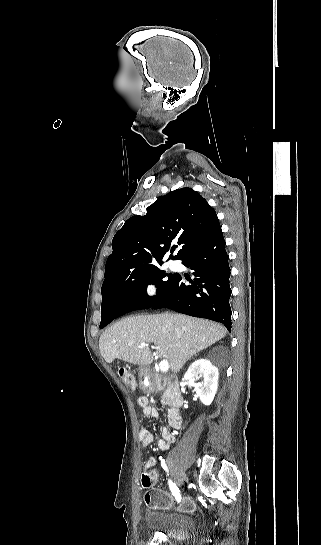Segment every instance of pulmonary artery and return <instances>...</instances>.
Masks as SVG:
<instances>
[{"mask_svg":"<svg viewBox=\"0 0 321 545\" xmlns=\"http://www.w3.org/2000/svg\"><path fill=\"white\" fill-rule=\"evenodd\" d=\"M168 267H169L170 270L176 271V270L180 269L181 264L178 261H169L168 262Z\"/></svg>","mask_w":321,"mask_h":545,"instance_id":"obj_1","label":"pulmonary artery"}]
</instances>
